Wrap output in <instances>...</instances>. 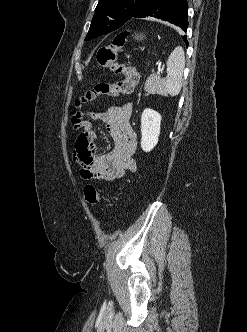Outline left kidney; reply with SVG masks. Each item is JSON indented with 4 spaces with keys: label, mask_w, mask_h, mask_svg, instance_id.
<instances>
[{
    "label": "left kidney",
    "mask_w": 247,
    "mask_h": 332,
    "mask_svg": "<svg viewBox=\"0 0 247 332\" xmlns=\"http://www.w3.org/2000/svg\"><path fill=\"white\" fill-rule=\"evenodd\" d=\"M161 115L153 109L147 108L141 116V148L150 152L158 143L160 134Z\"/></svg>",
    "instance_id": "left-kidney-1"
}]
</instances>
